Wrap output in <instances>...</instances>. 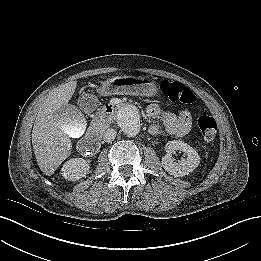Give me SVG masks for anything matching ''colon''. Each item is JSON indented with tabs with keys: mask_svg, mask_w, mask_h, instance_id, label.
Here are the masks:
<instances>
[{
	"mask_svg": "<svg viewBox=\"0 0 261 261\" xmlns=\"http://www.w3.org/2000/svg\"><path fill=\"white\" fill-rule=\"evenodd\" d=\"M161 92L171 102L193 104L196 101L195 94L180 82L164 80L160 85ZM198 126L207 143L212 142L217 134L216 120L208 115L198 118Z\"/></svg>",
	"mask_w": 261,
	"mask_h": 261,
	"instance_id": "obj_1",
	"label": "colon"
}]
</instances>
